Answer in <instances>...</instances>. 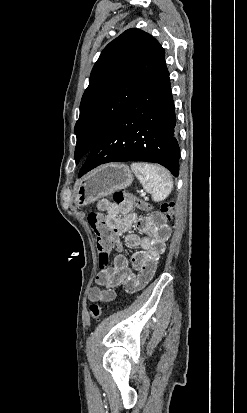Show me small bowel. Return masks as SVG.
Masks as SVG:
<instances>
[{
    "label": "small bowel",
    "instance_id": "c3829d8e",
    "mask_svg": "<svg viewBox=\"0 0 247 413\" xmlns=\"http://www.w3.org/2000/svg\"><path fill=\"white\" fill-rule=\"evenodd\" d=\"M99 211H104L110 230V242L118 251L123 248L121 236L125 235V245L139 248L131 257L132 268L127 258L118 254L112 265L102 268L96 276V284L88 292L91 302L105 303L114 299V288L122 285L127 292L142 290L154 277L158 261L166 250L171 228L166 223L154 224L150 217H138L131 203H115L103 199L98 202ZM136 227L143 236L129 232Z\"/></svg>",
    "mask_w": 247,
    "mask_h": 413
}]
</instances>
